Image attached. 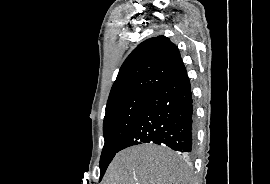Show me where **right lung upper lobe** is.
I'll return each instance as SVG.
<instances>
[{"label": "right lung upper lobe", "instance_id": "obj_1", "mask_svg": "<svg viewBox=\"0 0 270 184\" xmlns=\"http://www.w3.org/2000/svg\"><path fill=\"white\" fill-rule=\"evenodd\" d=\"M183 68L178 48L167 37L147 39L123 63L108 103L133 95L150 96Z\"/></svg>", "mask_w": 270, "mask_h": 184}]
</instances>
